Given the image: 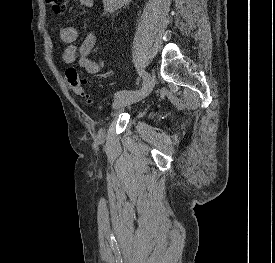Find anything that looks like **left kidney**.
<instances>
[{"label":"left kidney","instance_id":"left-kidney-1","mask_svg":"<svg viewBox=\"0 0 275 263\" xmlns=\"http://www.w3.org/2000/svg\"><path fill=\"white\" fill-rule=\"evenodd\" d=\"M131 0H103L104 10L113 13L124 5L128 4Z\"/></svg>","mask_w":275,"mask_h":263}]
</instances>
